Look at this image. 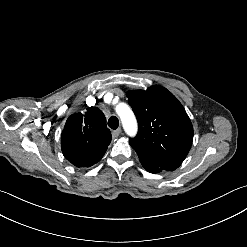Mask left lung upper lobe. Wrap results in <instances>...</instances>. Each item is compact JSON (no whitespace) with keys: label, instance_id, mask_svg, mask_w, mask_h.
Here are the masks:
<instances>
[{"label":"left lung upper lobe","instance_id":"5c2ea615","mask_svg":"<svg viewBox=\"0 0 247 247\" xmlns=\"http://www.w3.org/2000/svg\"><path fill=\"white\" fill-rule=\"evenodd\" d=\"M139 125L130 145L142 163L173 171L187 156L193 140L192 123L177 98L156 85L127 93Z\"/></svg>","mask_w":247,"mask_h":247}]
</instances>
